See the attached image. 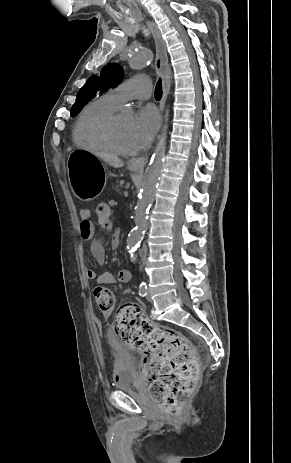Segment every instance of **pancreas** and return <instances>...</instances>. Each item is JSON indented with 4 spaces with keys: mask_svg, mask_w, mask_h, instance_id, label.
Segmentation results:
<instances>
[{
    "mask_svg": "<svg viewBox=\"0 0 291 463\" xmlns=\"http://www.w3.org/2000/svg\"><path fill=\"white\" fill-rule=\"evenodd\" d=\"M123 184L124 181L117 180L116 183H112L109 188L114 195L121 196L123 193Z\"/></svg>",
    "mask_w": 291,
    "mask_h": 463,
    "instance_id": "obj_1",
    "label": "pancreas"
}]
</instances>
